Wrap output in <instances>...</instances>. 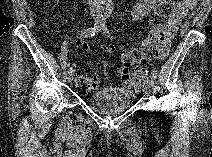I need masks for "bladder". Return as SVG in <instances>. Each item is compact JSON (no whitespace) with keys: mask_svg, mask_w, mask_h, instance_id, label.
Listing matches in <instances>:
<instances>
[{"mask_svg":"<svg viewBox=\"0 0 212 157\" xmlns=\"http://www.w3.org/2000/svg\"><path fill=\"white\" fill-rule=\"evenodd\" d=\"M135 94L119 87H106L88 96L87 105L94 111L111 114L129 108Z\"/></svg>","mask_w":212,"mask_h":157,"instance_id":"obj_1","label":"bladder"}]
</instances>
